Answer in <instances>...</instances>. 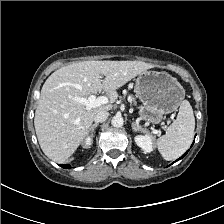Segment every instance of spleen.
<instances>
[{
    "label": "spleen",
    "mask_w": 224,
    "mask_h": 224,
    "mask_svg": "<svg viewBox=\"0 0 224 224\" xmlns=\"http://www.w3.org/2000/svg\"><path fill=\"white\" fill-rule=\"evenodd\" d=\"M195 129L193 109L187 100L180 104L176 120L167 128L165 135L157 139L156 145L167 160L179 158L190 147Z\"/></svg>",
    "instance_id": "3e777b00"
}]
</instances>
